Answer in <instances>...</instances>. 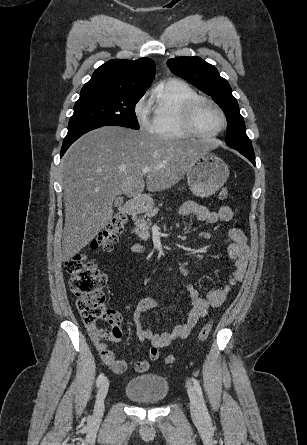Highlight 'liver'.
Listing matches in <instances>:
<instances>
[{
  "label": "liver",
  "mask_w": 307,
  "mask_h": 445,
  "mask_svg": "<svg viewBox=\"0 0 307 445\" xmlns=\"http://www.w3.org/2000/svg\"><path fill=\"white\" fill-rule=\"evenodd\" d=\"M202 148L193 140H165L145 130L101 126L83 134L63 160L65 227L61 259L89 245L113 216L117 194L138 196L177 184ZM115 200V202H114Z\"/></svg>",
  "instance_id": "obj_1"
}]
</instances>
